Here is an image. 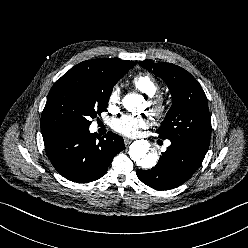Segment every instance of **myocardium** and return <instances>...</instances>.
Masks as SVG:
<instances>
[{
  "label": "myocardium",
  "mask_w": 248,
  "mask_h": 248,
  "mask_svg": "<svg viewBox=\"0 0 248 248\" xmlns=\"http://www.w3.org/2000/svg\"><path fill=\"white\" fill-rule=\"evenodd\" d=\"M149 110L157 118L163 117L169 109L167 99L162 95H154L149 98Z\"/></svg>",
  "instance_id": "1"
}]
</instances>
